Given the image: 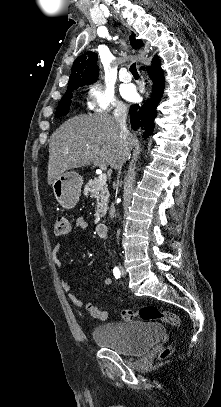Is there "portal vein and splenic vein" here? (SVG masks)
I'll return each instance as SVG.
<instances>
[{
    "mask_svg": "<svg viewBox=\"0 0 221 407\" xmlns=\"http://www.w3.org/2000/svg\"><path fill=\"white\" fill-rule=\"evenodd\" d=\"M106 181H107V175L105 174V173H101L99 176H98V184L101 186V185H104V184H106Z\"/></svg>",
    "mask_w": 221,
    "mask_h": 407,
    "instance_id": "obj_1",
    "label": "portal vein and splenic vein"
}]
</instances>
